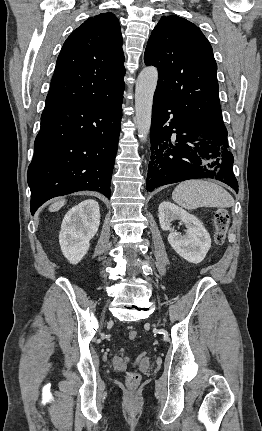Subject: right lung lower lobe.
Returning a JSON list of instances; mask_svg holds the SVG:
<instances>
[{"instance_id": "1", "label": "right lung lower lobe", "mask_w": 262, "mask_h": 431, "mask_svg": "<svg viewBox=\"0 0 262 431\" xmlns=\"http://www.w3.org/2000/svg\"><path fill=\"white\" fill-rule=\"evenodd\" d=\"M123 91L96 104L46 105L28 168L32 215L47 200L82 190L110 198Z\"/></svg>"}]
</instances>
